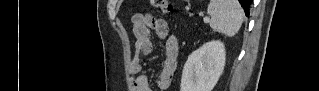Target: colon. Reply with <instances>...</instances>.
<instances>
[{
    "label": "colon",
    "mask_w": 319,
    "mask_h": 91,
    "mask_svg": "<svg viewBox=\"0 0 319 91\" xmlns=\"http://www.w3.org/2000/svg\"><path fill=\"white\" fill-rule=\"evenodd\" d=\"M151 3L164 14H170L173 11L171 3L167 0H151Z\"/></svg>",
    "instance_id": "5ec220e1"
}]
</instances>
